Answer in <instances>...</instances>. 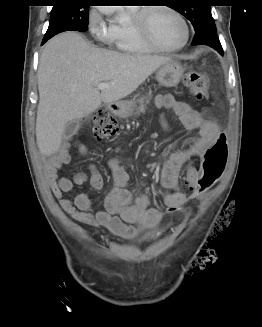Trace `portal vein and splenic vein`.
I'll list each match as a JSON object with an SVG mask.
<instances>
[{
  "label": "portal vein and splenic vein",
  "instance_id": "obj_1",
  "mask_svg": "<svg viewBox=\"0 0 262 327\" xmlns=\"http://www.w3.org/2000/svg\"><path fill=\"white\" fill-rule=\"evenodd\" d=\"M109 87H111V84H108V83H99L97 85V89H99V90H105Z\"/></svg>",
  "mask_w": 262,
  "mask_h": 327
}]
</instances>
